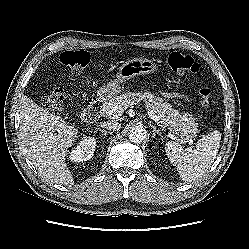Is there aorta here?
Returning a JSON list of instances; mask_svg holds the SVG:
<instances>
[{
	"instance_id": "aorta-1",
	"label": "aorta",
	"mask_w": 249,
	"mask_h": 249,
	"mask_svg": "<svg viewBox=\"0 0 249 249\" xmlns=\"http://www.w3.org/2000/svg\"><path fill=\"white\" fill-rule=\"evenodd\" d=\"M129 140L140 144L145 140L146 132L142 127H134L128 133Z\"/></svg>"
}]
</instances>
